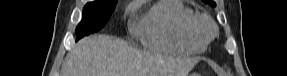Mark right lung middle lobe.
<instances>
[{
	"label": "right lung middle lobe",
	"mask_w": 287,
	"mask_h": 76,
	"mask_svg": "<svg viewBox=\"0 0 287 76\" xmlns=\"http://www.w3.org/2000/svg\"><path fill=\"white\" fill-rule=\"evenodd\" d=\"M117 1L87 3L83 9L81 22L76 28L77 40L101 30L109 20Z\"/></svg>",
	"instance_id": "obj_1"
}]
</instances>
